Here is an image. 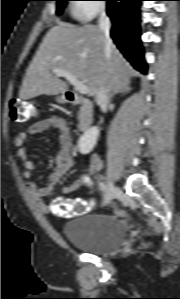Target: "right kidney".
I'll use <instances>...</instances> for the list:
<instances>
[{
  "instance_id": "1",
  "label": "right kidney",
  "mask_w": 180,
  "mask_h": 299,
  "mask_svg": "<svg viewBox=\"0 0 180 299\" xmlns=\"http://www.w3.org/2000/svg\"><path fill=\"white\" fill-rule=\"evenodd\" d=\"M99 136V130L97 126L87 129L84 134L80 137L78 142V148L80 153H90L97 143Z\"/></svg>"
}]
</instances>
